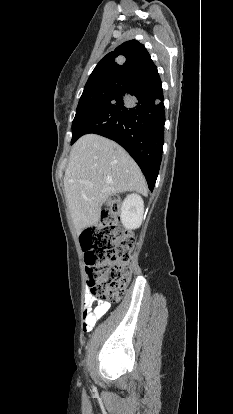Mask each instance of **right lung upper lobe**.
Masks as SVG:
<instances>
[{"label":"right lung upper lobe","mask_w":233,"mask_h":414,"mask_svg":"<svg viewBox=\"0 0 233 414\" xmlns=\"http://www.w3.org/2000/svg\"><path fill=\"white\" fill-rule=\"evenodd\" d=\"M155 74L157 67L146 48L138 41L130 40L108 53L97 64L87 82L105 76H118L134 81Z\"/></svg>","instance_id":"cb5924a9"}]
</instances>
